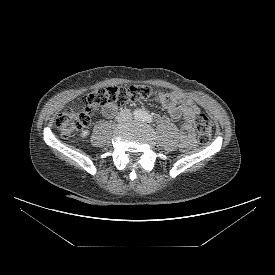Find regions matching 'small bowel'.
Wrapping results in <instances>:
<instances>
[{
	"mask_svg": "<svg viewBox=\"0 0 275 275\" xmlns=\"http://www.w3.org/2000/svg\"><path fill=\"white\" fill-rule=\"evenodd\" d=\"M160 104L168 111L170 116L175 119H183L184 125L179 129L180 147L188 150L195 143L194 123L196 117L200 114V108L190 97L178 91L160 93ZM117 112V105L110 103L102 108L105 117L111 118Z\"/></svg>",
	"mask_w": 275,
	"mask_h": 275,
	"instance_id": "small-bowel-1",
	"label": "small bowel"
}]
</instances>
